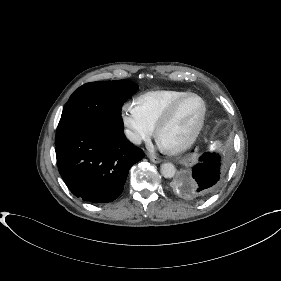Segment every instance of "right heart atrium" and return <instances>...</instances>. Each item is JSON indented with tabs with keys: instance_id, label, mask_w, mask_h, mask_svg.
Returning <instances> with one entry per match:
<instances>
[{
	"instance_id": "d8ad5b80",
	"label": "right heart atrium",
	"mask_w": 281,
	"mask_h": 281,
	"mask_svg": "<svg viewBox=\"0 0 281 281\" xmlns=\"http://www.w3.org/2000/svg\"><path fill=\"white\" fill-rule=\"evenodd\" d=\"M121 118L128 138L133 143H140L149 138L153 127L147 122L135 102H125L121 108Z\"/></svg>"
}]
</instances>
